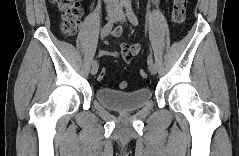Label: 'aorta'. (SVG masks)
<instances>
[{
  "mask_svg": "<svg viewBox=\"0 0 239 156\" xmlns=\"http://www.w3.org/2000/svg\"><path fill=\"white\" fill-rule=\"evenodd\" d=\"M124 5H130L131 0H121Z\"/></svg>",
  "mask_w": 239,
  "mask_h": 156,
  "instance_id": "1",
  "label": "aorta"
}]
</instances>
